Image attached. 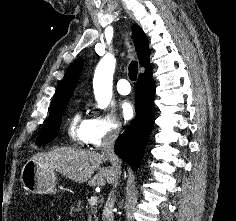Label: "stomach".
<instances>
[{"instance_id":"1","label":"stomach","mask_w":236,"mask_h":221,"mask_svg":"<svg viewBox=\"0 0 236 221\" xmlns=\"http://www.w3.org/2000/svg\"><path fill=\"white\" fill-rule=\"evenodd\" d=\"M22 183L33 194H55L57 175L54 170L29 160L22 168Z\"/></svg>"}]
</instances>
